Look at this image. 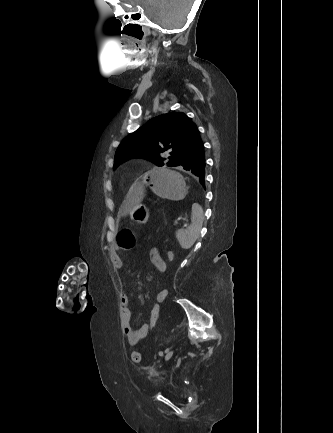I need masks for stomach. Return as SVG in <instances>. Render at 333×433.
<instances>
[{"label":"stomach","instance_id":"obj_1","mask_svg":"<svg viewBox=\"0 0 333 433\" xmlns=\"http://www.w3.org/2000/svg\"><path fill=\"white\" fill-rule=\"evenodd\" d=\"M139 181L152 183L153 192L164 199H185L186 184L176 169H150L147 174H140ZM131 217L138 224L146 223L149 217L147 207L139 204Z\"/></svg>","mask_w":333,"mask_h":433}]
</instances>
